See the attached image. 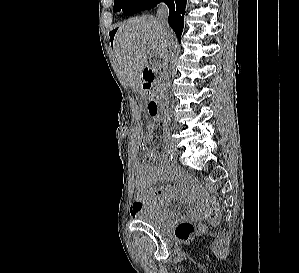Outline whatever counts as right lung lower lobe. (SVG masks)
I'll list each match as a JSON object with an SVG mask.
<instances>
[{"label":"right lung lower lobe","instance_id":"1","mask_svg":"<svg viewBox=\"0 0 299 273\" xmlns=\"http://www.w3.org/2000/svg\"><path fill=\"white\" fill-rule=\"evenodd\" d=\"M165 2L169 8L168 22L170 27L178 36L179 42L181 41V34L183 28L184 9L186 0H137L126 12V16L133 15L139 11L154 8L157 3Z\"/></svg>","mask_w":299,"mask_h":273}]
</instances>
